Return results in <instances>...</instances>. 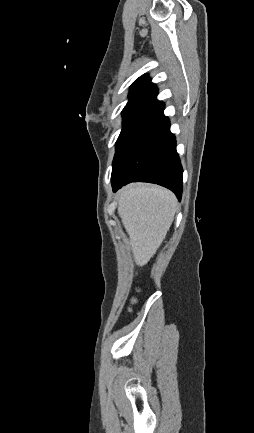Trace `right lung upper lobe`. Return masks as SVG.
Segmentation results:
<instances>
[{
    "label": "right lung upper lobe",
    "mask_w": 254,
    "mask_h": 433,
    "mask_svg": "<svg viewBox=\"0 0 254 433\" xmlns=\"http://www.w3.org/2000/svg\"><path fill=\"white\" fill-rule=\"evenodd\" d=\"M158 90L148 75L139 77L131 86L128 104L143 106L156 97Z\"/></svg>",
    "instance_id": "right-lung-upper-lobe-1"
}]
</instances>
